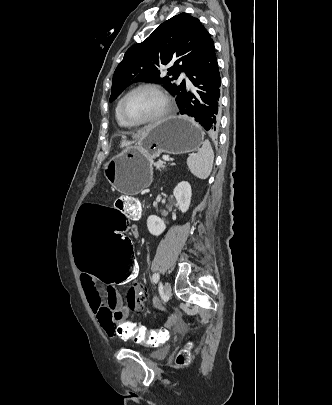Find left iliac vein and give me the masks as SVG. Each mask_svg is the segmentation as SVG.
<instances>
[{"label": "left iliac vein", "mask_w": 332, "mask_h": 405, "mask_svg": "<svg viewBox=\"0 0 332 405\" xmlns=\"http://www.w3.org/2000/svg\"><path fill=\"white\" fill-rule=\"evenodd\" d=\"M171 292H172L171 284L167 281L163 286V293L166 297H170Z\"/></svg>", "instance_id": "obj_1"}]
</instances>
